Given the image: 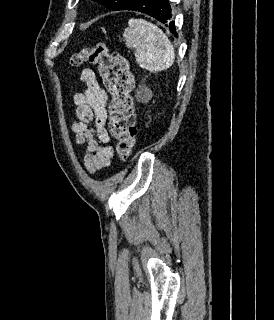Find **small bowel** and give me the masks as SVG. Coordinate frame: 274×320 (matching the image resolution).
<instances>
[{
  "label": "small bowel",
  "instance_id": "c3829d8e",
  "mask_svg": "<svg viewBox=\"0 0 274 320\" xmlns=\"http://www.w3.org/2000/svg\"><path fill=\"white\" fill-rule=\"evenodd\" d=\"M80 79L84 88L74 95L76 119L70 127L75 134L76 146L87 144L83 162L85 168L94 173L109 166L114 157V148L106 129L108 94L100 86L93 69H83Z\"/></svg>",
  "mask_w": 274,
  "mask_h": 320
}]
</instances>
